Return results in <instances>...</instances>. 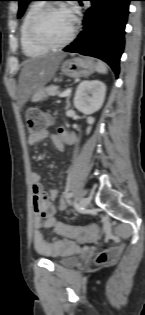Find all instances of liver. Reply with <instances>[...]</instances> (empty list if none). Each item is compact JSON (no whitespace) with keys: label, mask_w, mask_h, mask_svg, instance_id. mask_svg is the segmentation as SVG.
Instances as JSON below:
<instances>
[{"label":"liver","mask_w":145,"mask_h":315,"mask_svg":"<svg viewBox=\"0 0 145 315\" xmlns=\"http://www.w3.org/2000/svg\"><path fill=\"white\" fill-rule=\"evenodd\" d=\"M64 57V53H55L25 61L18 85L17 99L20 107L53 78Z\"/></svg>","instance_id":"6515ba94"}]
</instances>
